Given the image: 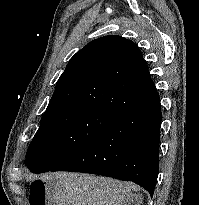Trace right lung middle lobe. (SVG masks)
I'll use <instances>...</instances> for the list:
<instances>
[{
  "instance_id": "right-lung-middle-lobe-1",
  "label": "right lung middle lobe",
  "mask_w": 199,
  "mask_h": 205,
  "mask_svg": "<svg viewBox=\"0 0 199 205\" xmlns=\"http://www.w3.org/2000/svg\"><path fill=\"white\" fill-rule=\"evenodd\" d=\"M119 117L93 107H71L45 112L27 151L25 165L34 173L59 163L96 141Z\"/></svg>"
}]
</instances>
